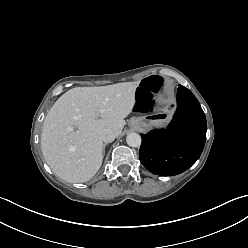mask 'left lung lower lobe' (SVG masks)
Listing matches in <instances>:
<instances>
[{
	"instance_id": "0a47b994",
	"label": "left lung lower lobe",
	"mask_w": 248,
	"mask_h": 248,
	"mask_svg": "<svg viewBox=\"0 0 248 248\" xmlns=\"http://www.w3.org/2000/svg\"><path fill=\"white\" fill-rule=\"evenodd\" d=\"M205 114L186 87L177 90V110L166 129L142 135L140 161L150 172L173 176L191 167L200 157L206 140Z\"/></svg>"
}]
</instances>
